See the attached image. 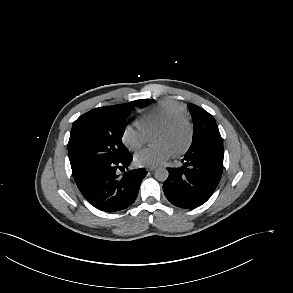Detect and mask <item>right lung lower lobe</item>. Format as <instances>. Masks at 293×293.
Listing matches in <instances>:
<instances>
[{
    "instance_id": "1",
    "label": "right lung lower lobe",
    "mask_w": 293,
    "mask_h": 293,
    "mask_svg": "<svg viewBox=\"0 0 293 293\" xmlns=\"http://www.w3.org/2000/svg\"><path fill=\"white\" fill-rule=\"evenodd\" d=\"M132 159L129 153L121 159L101 163L74 178L85 199L97 209L106 212L129 207L135 201L140 184L147 174L143 168H139L120 177L117 169L127 168Z\"/></svg>"
}]
</instances>
